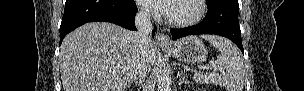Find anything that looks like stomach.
Instances as JSON below:
<instances>
[{
    "mask_svg": "<svg viewBox=\"0 0 304 91\" xmlns=\"http://www.w3.org/2000/svg\"><path fill=\"white\" fill-rule=\"evenodd\" d=\"M176 59L185 63H201L207 59L208 51L196 36H188L177 40L171 46L164 47Z\"/></svg>",
    "mask_w": 304,
    "mask_h": 91,
    "instance_id": "obj_1",
    "label": "stomach"
}]
</instances>
